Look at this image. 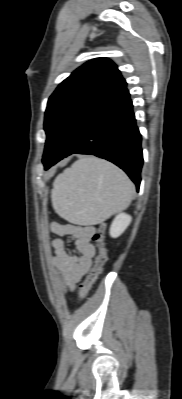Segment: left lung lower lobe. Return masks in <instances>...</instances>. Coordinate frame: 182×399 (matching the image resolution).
Wrapping results in <instances>:
<instances>
[{"label": "left lung lower lobe", "instance_id": "obj_1", "mask_svg": "<svg viewBox=\"0 0 182 399\" xmlns=\"http://www.w3.org/2000/svg\"><path fill=\"white\" fill-rule=\"evenodd\" d=\"M132 107L129 91L124 88L87 118L61 154L44 165L45 169L74 153L91 154L123 169L138 191L143 155Z\"/></svg>", "mask_w": 182, "mask_h": 399}]
</instances>
